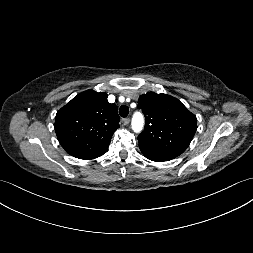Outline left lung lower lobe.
Wrapping results in <instances>:
<instances>
[{
  "instance_id": "0a47b994",
  "label": "left lung lower lobe",
  "mask_w": 253,
  "mask_h": 253,
  "mask_svg": "<svg viewBox=\"0 0 253 253\" xmlns=\"http://www.w3.org/2000/svg\"><path fill=\"white\" fill-rule=\"evenodd\" d=\"M140 150L146 158L152 161H157V162L168 161L177 157L176 155H173V154L161 152L158 150L148 149V148L140 147Z\"/></svg>"
}]
</instances>
